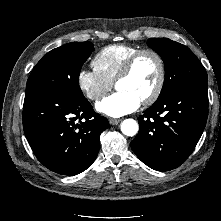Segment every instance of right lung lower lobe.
Returning <instances> with one entry per match:
<instances>
[{
  "label": "right lung lower lobe",
  "mask_w": 221,
  "mask_h": 221,
  "mask_svg": "<svg viewBox=\"0 0 221 221\" xmlns=\"http://www.w3.org/2000/svg\"><path fill=\"white\" fill-rule=\"evenodd\" d=\"M108 127V120L95 114L85 97L26 89L24 133L37 159L53 172L71 176L86 170Z\"/></svg>",
  "instance_id": "obj_1"
}]
</instances>
